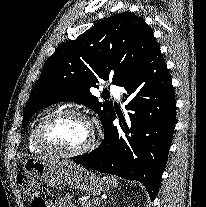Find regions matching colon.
I'll list each match as a JSON object with an SVG mask.
<instances>
[{"instance_id": "1", "label": "colon", "mask_w": 206, "mask_h": 207, "mask_svg": "<svg viewBox=\"0 0 206 207\" xmlns=\"http://www.w3.org/2000/svg\"><path fill=\"white\" fill-rule=\"evenodd\" d=\"M17 180L24 195L31 200V207H46L44 199L37 195V185L31 176L19 173Z\"/></svg>"}]
</instances>
